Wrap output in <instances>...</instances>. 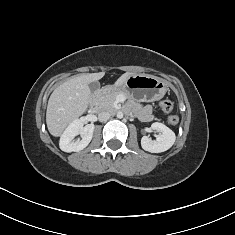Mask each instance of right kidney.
<instances>
[{"label":"right kidney","instance_id":"ca27d5eb","mask_svg":"<svg viewBox=\"0 0 235 235\" xmlns=\"http://www.w3.org/2000/svg\"><path fill=\"white\" fill-rule=\"evenodd\" d=\"M93 124H87L83 127L82 121L76 119L69 124L60 138V149L64 152H78L88 146L93 137ZM81 134V140L74 142V137Z\"/></svg>","mask_w":235,"mask_h":235}]
</instances>
